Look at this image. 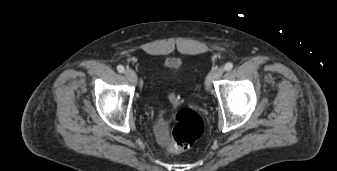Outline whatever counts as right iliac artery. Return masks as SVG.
I'll list each match as a JSON object with an SVG mask.
<instances>
[{
    "instance_id": "right-iliac-artery-1",
    "label": "right iliac artery",
    "mask_w": 337,
    "mask_h": 171,
    "mask_svg": "<svg viewBox=\"0 0 337 171\" xmlns=\"http://www.w3.org/2000/svg\"><path fill=\"white\" fill-rule=\"evenodd\" d=\"M117 70H118V72H120V73H123V72L125 71V69H124V67H123L122 65H118V66H117Z\"/></svg>"
}]
</instances>
